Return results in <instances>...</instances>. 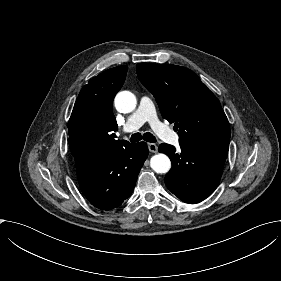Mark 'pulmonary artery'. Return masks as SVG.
<instances>
[{"label":"pulmonary artery","mask_w":281,"mask_h":281,"mask_svg":"<svg viewBox=\"0 0 281 281\" xmlns=\"http://www.w3.org/2000/svg\"><path fill=\"white\" fill-rule=\"evenodd\" d=\"M150 102L149 97L145 96L141 98L138 108L130 116H128L126 124L121 129V134H125L139 128L146 121L156 129L169 128L167 125L161 123L155 114L151 115L146 111Z\"/></svg>","instance_id":"e3ab8cb5"}]
</instances>
